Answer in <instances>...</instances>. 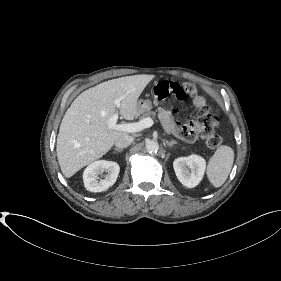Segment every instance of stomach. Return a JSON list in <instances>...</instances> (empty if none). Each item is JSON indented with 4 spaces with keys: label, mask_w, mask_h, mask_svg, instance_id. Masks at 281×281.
Returning a JSON list of instances; mask_svg holds the SVG:
<instances>
[{
    "label": "stomach",
    "mask_w": 281,
    "mask_h": 281,
    "mask_svg": "<svg viewBox=\"0 0 281 281\" xmlns=\"http://www.w3.org/2000/svg\"><path fill=\"white\" fill-rule=\"evenodd\" d=\"M152 102L149 99L139 100L137 102L138 115L146 113L152 109Z\"/></svg>",
    "instance_id": "stomach-1"
}]
</instances>
